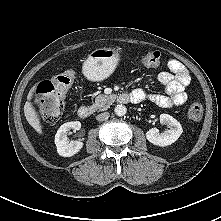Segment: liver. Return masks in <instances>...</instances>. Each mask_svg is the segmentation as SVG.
I'll use <instances>...</instances> for the list:
<instances>
[{"label": "liver", "instance_id": "obj_1", "mask_svg": "<svg viewBox=\"0 0 221 221\" xmlns=\"http://www.w3.org/2000/svg\"><path fill=\"white\" fill-rule=\"evenodd\" d=\"M35 90H36V85L32 87V89L30 90L28 94V97H27L28 101L24 105V114H25L26 120L31 125V127H33L37 133L42 134V126L40 123V119L38 117V113L36 112L33 104L30 102V100L33 98V94Z\"/></svg>", "mask_w": 221, "mask_h": 221}]
</instances>
